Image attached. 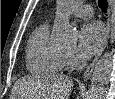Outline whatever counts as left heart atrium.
I'll return each mask as SVG.
<instances>
[{"label":"left heart atrium","mask_w":115,"mask_h":99,"mask_svg":"<svg viewBox=\"0 0 115 99\" xmlns=\"http://www.w3.org/2000/svg\"><path fill=\"white\" fill-rule=\"evenodd\" d=\"M105 30L101 23L91 22L85 24L79 32L77 54L82 59L93 56L105 40Z\"/></svg>","instance_id":"1"}]
</instances>
